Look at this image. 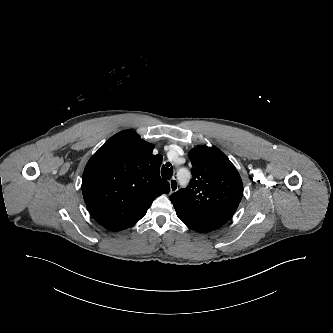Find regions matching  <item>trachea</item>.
Instances as JSON below:
<instances>
[{"label": "trachea", "instance_id": "obj_1", "mask_svg": "<svg viewBox=\"0 0 333 333\" xmlns=\"http://www.w3.org/2000/svg\"><path fill=\"white\" fill-rule=\"evenodd\" d=\"M161 175L166 180L171 179L173 175V167H171V164L169 162L166 163V165H163L161 169Z\"/></svg>", "mask_w": 333, "mask_h": 333}]
</instances>
